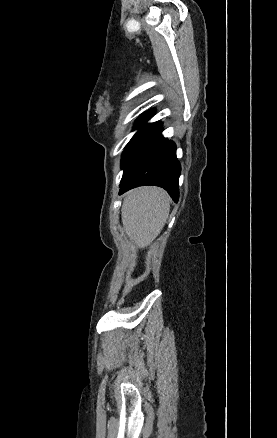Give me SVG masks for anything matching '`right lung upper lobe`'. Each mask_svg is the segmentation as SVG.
I'll return each instance as SVG.
<instances>
[{"label": "right lung upper lobe", "instance_id": "right-lung-upper-lobe-1", "mask_svg": "<svg viewBox=\"0 0 277 438\" xmlns=\"http://www.w3.org/2000/svg\"><path fill=\"white\" fill-rule=\"evenodd\" d=\"M147 113H153V111L151 110V111H148ZM147 113H145V114H147Z\"/></svg>", "mask_w": 277, "mask_h": 438}]
</instances>
